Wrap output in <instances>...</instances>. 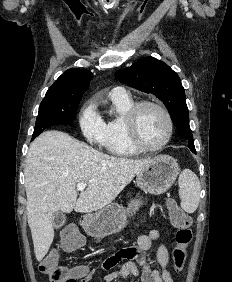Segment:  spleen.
Wrapping results in <instances>:
<instances>
[{
	"mask_svg": "<svg viewBox=\"0 0 232 282\" xmlns=\"http://www.w3.org/2000/svg\"><path fill=\"white\" fill-rule=\"evenodd\" d=\"M178 184L182 209L187 213L195 212L199 204L201 190L198 177L191 170L185 169L179 176Z\"/></svg>",
	"mask_w": 232,
	"mask_h": 282,
	"instance_id": "obj_1",
	"label": "spleen"
}]
</instances>
